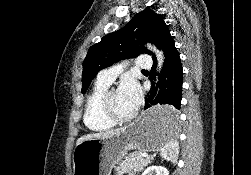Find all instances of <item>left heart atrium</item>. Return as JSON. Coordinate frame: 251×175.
Wrapping results in <instances>:
<instances>
[{
  "label": "left heart atrium",
  "mask_w": 251,
  "mask_h": 175,
  "mask_svg": "<svg viewBox=\"0 0 251 175\" xmlns=\"http://www.w3.org/2000/svg\"><path fill=\"white\" fill-rule=\"evenodd\" d=\"M118 96L121 103L134 113L140 106L142 92L140 86L133 78H125L118 88Z\"/></svg>",
  "instance_id": "left-heart-atrium-1"
}]
</instances>
